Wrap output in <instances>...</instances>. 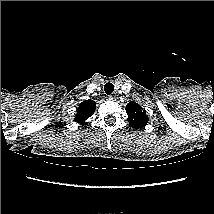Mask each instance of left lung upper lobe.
I'll return each mask as SVG.
<instances>
[{
	"instance_id": "obj_1",
	"label": "left lung upper lobe",
	"mask_w": 214,
	"mask_h": 214,
	"mask_svg": "<svg viewBox=\"0 0 214 214\" xmlns=\"http://www.w3.org/2000/svg\"><path fill=\"white\" fill-rule=\"evenodd\" d=\"M125 110L131 127L139 129L143 128L148 123V116L138 103L133 101L129 102Z\"/></svg>"
}]
</instances>
